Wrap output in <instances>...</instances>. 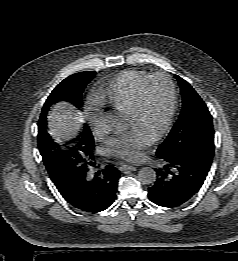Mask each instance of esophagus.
<instances>
[{
	"mask_svg": "<svg viewBox=\"0 0 238 261\" xmlns=\"http://www.w3.org/2000/svg\"><path fill=\"white\" fill-rule=\"evenodd\" d=\"M120 170H121V171H124V170L135 171V170H136V167H135V166H132V165L122 164V165L120 166Z\"/></svg>",
	"mask_w": 238,
	"mask_h": 261,
	"instance_id": "obj_1",
	"label": "esophagus"
}]
</instances>
